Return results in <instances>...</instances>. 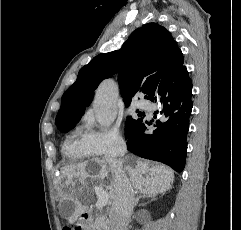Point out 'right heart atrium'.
Segmentation results:
<instances>
[{
    "label": "right heart atrium",
    "mask_w": 241,
    "mask_h": 230,
    "mask_svg": "<svg viewBox=\"0 0 241 230\" xmlns=\"http://www.w3.org/2000/svg\"><path fill=\"white\" fill-rule=\"evenodd\" d=\"M85 139L94 155L117 156L126 148V141L117 128L90 130Z\"/></svg>",
    "instance_id": "d8ad5b80"
}]
</instances>
